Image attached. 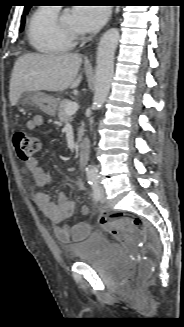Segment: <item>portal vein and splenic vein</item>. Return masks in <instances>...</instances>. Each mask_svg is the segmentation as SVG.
<instances>
[{
    "label": "portal vein and splenic vein",
    "instance_id": "obj_1",
    "mask_svg": "<svg viewBox=\"0 0 184 327\" xmlns=\"http://www.w3.org/2000/svg\"><path fill=\"white\" fill-rule=\"evenodd\" d=\"M78 110V104L76 102H69L66 105L65 111L69 115H73Z\"/></svg>",
    "mask_w": 184,
    "mask_h": 327
}]
</instances>
